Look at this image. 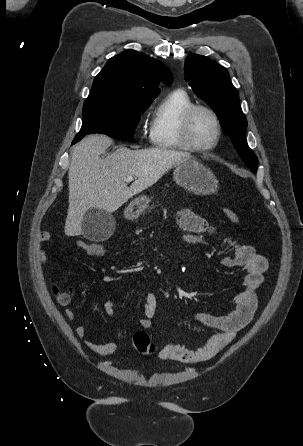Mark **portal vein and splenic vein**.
Returning <instances> with one entry per match:
<instances>
[{"label": "portal vein and splenic vein", "instance_id": "obj_1", "mask_svg": "<svg viewBox=\"0 0 303 446\" xmlns=\"http://www.w3.org/2000/svg\"><path fill=\"white\" fill-rule=\"evenodd\" d=\"M133 180V176H129L126 178V181H132Z\"/></svg>", "mask_w": 303, "mask_h": 446}]
</instances>
